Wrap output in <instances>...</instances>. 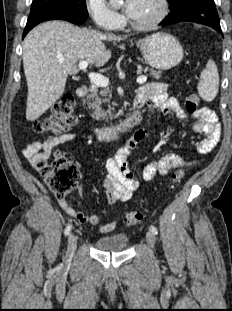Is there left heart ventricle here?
<instances>
[{"mask_svg": "<svg viewBox=\"0 0 232 311\" xmlns=\"http://www.w3.org/2000/svg\"><path fill=\"white\" fill-rule=\"evenodd\" d=\"M158 4L156 0H142L137 14L131 17L136 23H145L151 20L157 13Z\"/></svg>", "mask_w": 232, "mask_h": 311, "instance_id": "1", "label": "left heart ventricle"}]
</instances>
